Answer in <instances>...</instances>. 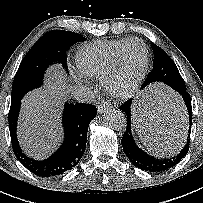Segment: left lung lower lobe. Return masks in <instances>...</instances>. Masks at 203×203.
<instances>
[{"label":"left lung lower lobe","mask_w":203,"mask_h":203,"mask_svg":"<svg viewBox=\"0 0 203 203\" xmlns=\"http://www.w3.org/2000/svg\"><path fill=\"white\" fill-rule=\"evenodd\" d=\"M169 76L170 77L166 78V80L168 81V83L171 84L169 86L172 87L174 90L178 91L179 94L182 96L185 104V109H187L188 111L189 121H190L189 135H188L187 142L178 155L170 158L161 159V158H155L153 156H150L144 151H142L134 142L133 136L131 133V108H130L131 100H128L119 108L124 112V114L127 117V128L121 140L122 147L126 156L136 167L140 168L141 170L153 172V173L164 172L174 167L176 164H178L181 161V159L184 158V156L187 154L189 150V142H190L189 138H190L191 122H192L191 98L189 93L186 91L185 86L183 85V79L181 77L180 78L176 77L178 75L175 73V71H171L169 73ZM145 85L146 84L144 83L143 86Z\"/></svg>","instance_id":"obj_1"}]
</instances>
